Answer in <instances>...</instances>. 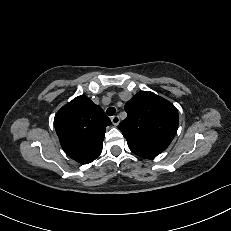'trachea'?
Instances as JSON below:
<instances>
[{
    "instance_id": "3493384b",
    "label": "trachea",
    "mask_w": 231,
    "mask_h": 231,
    "mask_svg": "<svg viewBox=\"0 0 231 231\" xmlns=\"http://www.w3.org/2000/svg\"><path fill=\"white\" fill-rule=\"evenodd\" d=\"M106 113H107L108 116H113L116 113V109L114 107H109L106 110Z\"/></svg>"
}]
</instances>
